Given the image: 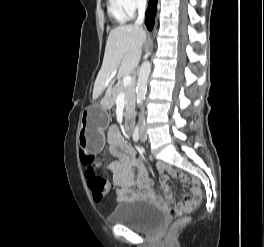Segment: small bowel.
I'll return each mask as SVG.
<instances>
[{"label": "small bowel", "instance_id": "obj_1", "mask_svg": "<svg viewBox=\"0 0 264 247\" xmlns=\"http://www.w3.org/2000/svg\"><path fill=\"white\" fill-rule=\"evenodd\" d=\"M107 142L109 154L114 157V161L107 166V169L113 173V182L117 186V200L125 203L136 196L144 195L159 202L160 198L153 192L152 183L144 164L136 158L134 150L123 141L121 133L116 126L109 127ZM134 166L139 168V174L136 179L134 177ZM157 169L159 172L165 173L161 176L162 187L166 198L170 200L172 194L167 185V180L168 177L177 176L178 174L173 168L163 164H158ZM135 183L140 191L134 189ZM190 192L191 194L198 193L200 195L198 187H192Z\"/></svg>", "mask_w": 264, "mask_h": 247}]
</instances>
